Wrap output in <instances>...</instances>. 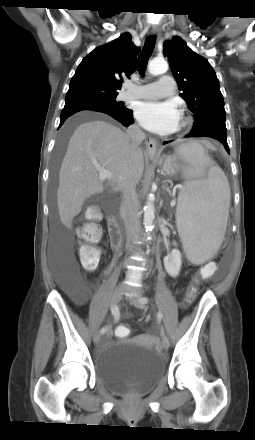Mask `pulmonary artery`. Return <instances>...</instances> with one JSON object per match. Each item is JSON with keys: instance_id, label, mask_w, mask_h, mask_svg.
I'll list each match as a JSON object with an SVG mask.
<instances>
[{"instance_id": "pulmonary-artery-1", "label": "pulmonary artery", "mask_w": 255, "mask_h": 440, "mask_svg": "<svg viewBox=\"0 0 255 440\" xmlns=\"http://www.w3.org/2000/svg\"><path fill=\"white\" fill-rule=\"evenodd\" d=\"M175 86L174 79L167 74L161 75L154 83L142 85L138 88H129L121 94V99H157L169 96L173 93Z\"/></svg>"}]
</instances>
